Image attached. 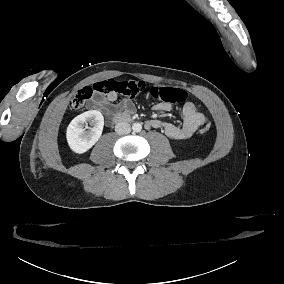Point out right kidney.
<instances>
[{
	"label": "right kidney",
	"instance_id": "ca27d5eb",
	"mask_svg": "<svg viewBox=\"0 0 284 284\" xmlns=\"http://www.w3.org/2000/svg\"><path fill=\"white\" fill-rule=\"evenodd\" d=\"M93 127L85 130V123ZM104 126V117L97 110H90L75 117L67 128V141L70 148L76 153H84L100 138Z\"/></svg>",
	"mask_w": 284,
	"mask_h": 284
}]
</instances>
